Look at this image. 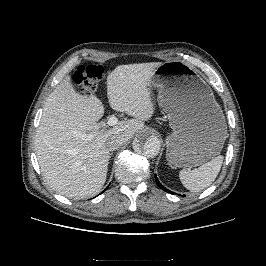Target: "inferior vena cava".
Wrapping results in <instances>:
<instances>
[{
	"mask_svg": "<svg viewBox=\"0 0 266 266\" xmlns=\"http://www.w3.org/2000/svg\"><path fill=\"white\" fill-rule=\"evenodd\" d=\"M125 142L126 141L122 136L113 135L106 141V146L110 151H114L120 148Z\"/></svg>",
	"mask_w": 266,
	"mask_h": 266,
	"instance_id": "602c4592",
	"label": "inferior vena cava"
}]
</instances>
